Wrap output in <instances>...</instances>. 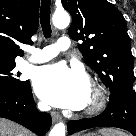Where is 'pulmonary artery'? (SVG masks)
I'll list each match as a JSON object with an SVG mask.
<instances>
[{
    "mask_svg": "<svg viewBox=\"0 0 136 136\" xmlns=\"http://www.w3.org/2000/svg\"><path fill=\"white\" fill-rule=\"evenodd\" d=\"M69 47H70L69 38L60 37L56 44L46 46L42 49H34L28 61L33 63L46 62L54 58L56 55H58L59 52L67 50Z\"/></svg>",
    "mask_w": 136,
    "mask_h": 136,
    "instance_id": "pulmonary-artery-1",
    "label": "pulmonary artery"
}]
</instances>
